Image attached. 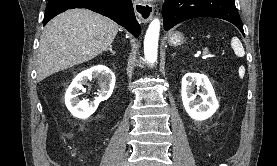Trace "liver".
I'll return each mask as SVG.
<instances>
[{
    "label": "liver",
    "instance_id": "obj_1",
    "mask_svg": "<svg viewBox=\"0 0 277 166\" xmlns=\"http://www.w3.org/2000/svg\"><path fill=\"white\" fill-rule=\"evenodd\" d=\"M119 27L88 9H73L53 18L44 28L38 50V81L90 61L107 50Z\"/></svg>",
    "mask_w": 277,
    "mask_h": 166
}]
</instances>
